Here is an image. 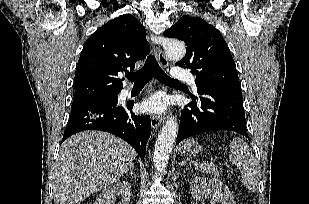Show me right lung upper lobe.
Masks as SVG:
<instances>
[{"instance_id": "1", "label": "right lung upper lobe", "mask_w": 309, "mask_h": 204, "mask_svg": "<svg viewBox=\"0 0 309 204\" xmlns=\"http://www.w3.org/2000/svg\"><path fill=\"white\" fill-rule=\"evenodd\" d=\"M150 51L143 25L130 14L115 18L94 32L81 52L74 78L73 106L118 94V75Z\"/></svg>"}]
</instances>
